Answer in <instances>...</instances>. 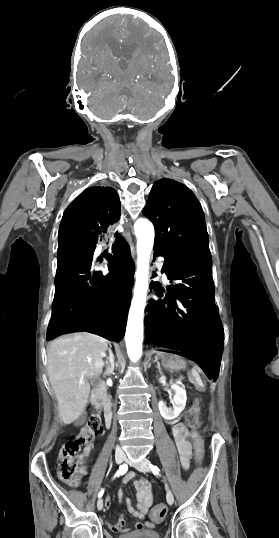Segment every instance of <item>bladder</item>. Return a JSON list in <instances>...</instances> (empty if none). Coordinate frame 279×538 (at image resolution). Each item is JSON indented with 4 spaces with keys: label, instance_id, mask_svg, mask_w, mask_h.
<instances>
[{
    "label": "bladder",
    "instance_id": "1",
    "mask_svg": "<svg viewBox=\"0 0 279 538\" xmlns=\"http://www.w3.org/2000/svg\"><path fill=\"white\" fill-rule=\"evenodd\" d=\"M122 538H160L159 532H123Z\"/></svg>",
    "mask_w": 279,
    "mask_h": 538
}]
</instances>
